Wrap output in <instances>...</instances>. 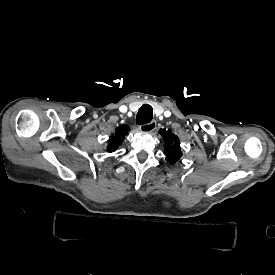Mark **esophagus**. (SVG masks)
Segmentation results:
<instances>
[{
  "instance_id": "esophagus-1",
  "label": "esophagus",
  "mask_w": 275,
  "mask_h": 275,
  "mask_svg": "<svg viewBox=\"0 0 275 275\" xmlns=\"http://www.w3.org/2000/svg\"><path fill=\"white\" fill-rule=\"evenodd\" d=\"M157 122L155 120H152L151 122L144 124L141 126V130L144 132H152L156 129Z\"/></svg>"
}]
</instances>
